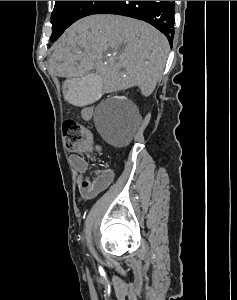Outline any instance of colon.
Segmentation results:
<instances>
[{
    "label": "colon",
    "instance_id": "5ec220e1",
    "mask_svg": "<svg viewBox=\"0 0 237 300\" xmlns=\"http://www.w3.org/2000/svg\"><path fill=\"white\" fill-rule=\"evenodd\" d=\"M65 146L67 150L75 153H88L92 150L100 151L94 145L91 131L75 121H67L63 126Z\"/></svg>",
    "mask_w": 237,
    "mask_h": 300
}]
</instances>
